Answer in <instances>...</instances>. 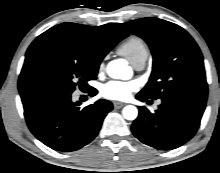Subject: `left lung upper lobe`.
<instances>
[{
  "mask_svg": "<svg viewBox=\"0 0 220 173\" xmlns=\"http://www.w3.org/2000/svg\"><path fill=\"white\" fill-rule=\"evenodd\" d=\"M120 25L143 38L152 51V74L138 94L154 100L183 97L206 102L208 89L203 57L196 42L182 27L152 17Z\"/></svg>",
  "mask_w": 220,
  "mask_h": 173,
  "instance_id": "1",
  "label": "left lung upper lobe"
}]
</instances>
